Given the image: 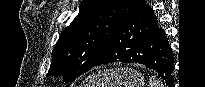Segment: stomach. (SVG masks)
I'll list each match as a JSON object with an SVG mask.
<instances>
[{
  "instance_id": "0dacf381",
  "label": "stomach",
  "mask_w": 205,
  "mask_h": 87,
  "mask_svg": "<svg viewBox=\"0 0 205 87\" xmlns=\"http://www.w3.org/2000/svg\"><path fill=\"white\" fill-rule=\"evenodd\" d=\"M144 76L132 68L99 71L89 76L83 87H144Z\"/></svg>"
}]
</instances>
